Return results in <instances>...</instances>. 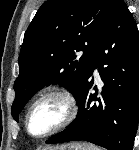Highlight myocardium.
<instances>
[{
  "instance_id": "f54148a6",
  "label": "myocardium",
  "mask_w": 139,
  "mask_h": 150,
  "mask_svg": "<svg viewBox=\"0 0 139 150\" xmlns=\"http://www.w3.org/2000/svg\"><path fill=\"white\" fill-rule=\"evenodd\" d=\"M49 97H57L63 101V103L66 107V115H65L64 119L58 125H56L53 129L49 130L48 132H46L42 135H34L31 133L30 126H29V120H30L31 113H32L33 109L35 108V106L39 102H41L42 100L49 98ZM78 112H79L78 102H77L75 96L71 92L64 90V89H50V90H47V91L41 93L31 103V105L28 108V111L26 113V116H25V128H26L27 133L33 138H36V139L47 138L51 135H54V134L64 130L68 126H70L73 123V121L76 119Z\"/></svg>"
}]
</instances>
